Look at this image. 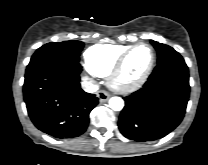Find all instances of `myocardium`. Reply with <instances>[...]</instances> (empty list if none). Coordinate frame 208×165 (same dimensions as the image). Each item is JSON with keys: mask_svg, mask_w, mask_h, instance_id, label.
Here are the masks:
<instances>
[{"mask_svg": "<svg viewBox=\"0 0 208 165\" xmlns=\"http://www.w3.org/2000/svg\"><path fill=\"white\" fill-rule=\"evenodd\" d=\"M143 46L149 48V50L151 51V59L147 68L136 79L129 81V82L123 81L121 79V75L129 57L137 48L143 47ZM155 61H156V53H155L154 48L150 44L139 42L137 44L130 46L121 54V56L118 58L115 65L111 69L109 73V77H108L109 85L114 90L122 92V93H129V92L137 90L146 82V80L150 76L154 68Z\"/></svg>", "mask_w": 208, "mask_h": 165, "instance_id": "obj_1", "label": "myocardium"}]
</instances>
